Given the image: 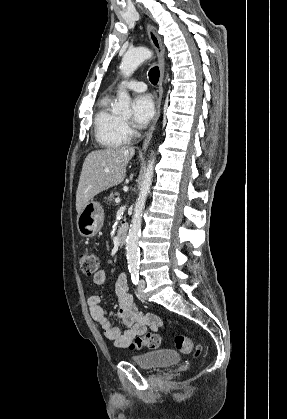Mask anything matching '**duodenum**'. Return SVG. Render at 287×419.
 I'll return each mask as SVG.
<instances>
[{
	"mask_svg": "<svg viewBox=\"0 0 287 419\" xmlns=\"http://www.w3.org/2000/svg\"><path fill=\"white\" fill-rule=\"evenodd\" d=\"M115 239H116L117 244L119 245L125 244L126 239H127V231L122 228L118 229Z\"/></svg>",
	"mask_w": 287,
	"mask_h": 419,
	"instance_id": "duodenum-1",
	"label": "duodenum"
}]
</instances>
